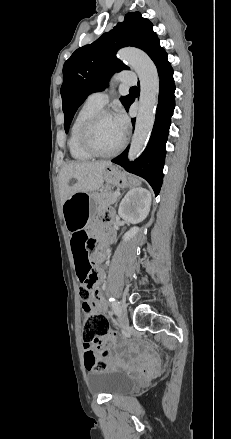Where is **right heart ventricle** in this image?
<instances>
[{
  "instance_id": "right-heart-ventricle-1",
  "label": "right heart ventricle",
  "mask_w": 231,
  "mask_h": 439,
  "mask_svg": "<svg viewBox=\"0 0 231 439\" xmlns=\"http://www.w3.org/2000/svg\"><path fill=\"white\" fill-rule=\"evenodd\" d=\"M100 107L86 101L76 113L68 135L67 146L72 158L78 161H88L92 156L82 147L80 132L85 121Z\"/></svg>"
}]
</instances>
